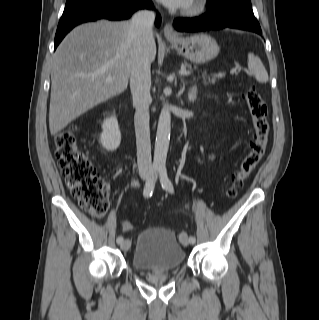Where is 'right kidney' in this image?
<instances>
[{
  "mask_svg": "<svg viewBox=\"0 0 319 320\" xmlns=\"http://www.w3.org/2000/svg\"><path fill=\"white\" fill-rule=\"evenodd\" d=\"M101 145L109 151L116 150L121 142V132L115 116L108 117L102 124Z\"/></svg>",
  "mask_w": 319,
  "mask_h": 320,
  "instance_id": "1",
  "label": "right kidney"
}]
</instances>
